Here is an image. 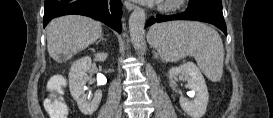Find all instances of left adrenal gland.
<instances>
[{
    "label": "left adrenal gland",
    "mask_w": 273,
    "mask_h": 118,
    "mask_svg": "<svg viewBox=\"0 0 273 118\" xmlns=\"http://www.w3.org/2000/svg\"><path fill=\"white\" fill-rule=\"evenodd\" d=\"M154 56H155V58H158V54L157 53H154Z\"/></svg>",
    "instance_id": "1"
}]
</instances>
